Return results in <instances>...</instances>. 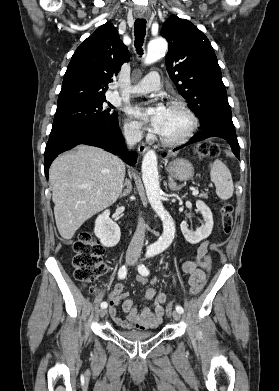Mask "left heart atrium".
Returning a JSON list of instances; mask_svg holds the SVG:
<instances>
[{
    "label": "left heart atrium",
    "instance_id": "left-heart-atrium-1",
    "mask_svg": "<svg viewBox=\"0 0 279 391\" xmlns=\"http://www.w3.org/2000/svg\"><path fill=\"white\" fill-rule=\"evenodd\" d=\"M131 114L159 133L167 114V107L160 102L152 105L140 104L131 109Z\"/></svg>",
    "mask_w": 279,
    "mask_h": 391
}]
</instances>
